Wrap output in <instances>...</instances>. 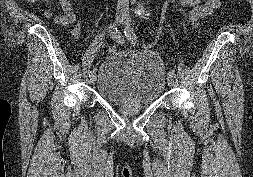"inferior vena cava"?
I'll list each match as a JSON object with an SVG mask.
<instances>
[{"label": "inferior vena cava", "instance_id": "obj_1", "mask_svg": "<svg viewBox=\"0 0 253 177\" xmlns=\"http://www.w3.org/2000/svg\"><path fill=\"white\" fill-rule=\"evenodd\" d=\"M129 5V0H118V6L126 7Z\"/></svg>", "mask_w": 253, "mask_h": 177}]
</instances>
